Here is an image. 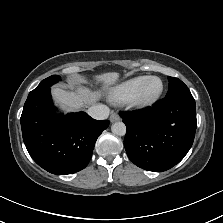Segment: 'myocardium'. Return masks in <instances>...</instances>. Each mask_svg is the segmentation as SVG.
Listing matches in <instances>:
<instances>
[{"instance_id":"myocardium-1","label":"myocardium","mask_w":223,"mask_h":223,"mask_svg":"<svg viewBox=\"0 0 223 223\" xmlns=\"http://www.w3.org/2000/svg\"><path fill=\"white\" fill-rule=\"evenodd\" d=\"M152 79H156L159 81L158 90L149 98H142L141 91H142L143 84L149 80H152ZM162 92H163V82H162L161 78L158 76H154V75L146 76L143 78V80H142L140 86L138 87V89L136 90V92L130 97V99L128 100V103H129V105H131L133 107H137V108L149 107L158 101Z\"/></svg>"}]
</instances>
